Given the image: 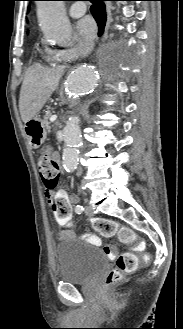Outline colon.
Masks as SVG:
<instances>
[{
	"label": "colon",
	"instance_id": "obj_1",
	"mask_svg": "<svg viewBox=\"0 0 183 329\" xmlns=\"http://www.w3.org/2000/svg\"><path fill=\"white\" fill-rule=\"evenodd\" d=\"M38 167L46 189L48 191L55 189L59 182L60 171L57 161L48 149L44 150L41 154ZM93 227L101 237L111 238L117 236L120 242L130 245L135 251L142 252L145 249V243L137 238L129 228L121 227L112 220L96 218L93 220ZM104 251L109 257H115L116 259L115 268L112 269L106 277L107 287L118 284L126 273H131L136 270L138 258L134 253L126 252L116 255L115 247L110 245L106 246Z\"/></svg>",
	"mask_w": 183,
	"mask_h": 329
}]
</instances>
